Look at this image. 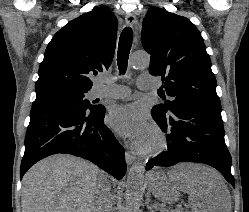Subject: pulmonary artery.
Wrapping results in <instances>:
<instances>
[{
  "label": "pulmonary artery",
  "instance_id": "obj_1",
  "mask_svg": "<svg viewBox=\"0 0 249 212\" xmlns=\"http://www.w3.org/2000/svg\"><path fill=\"white\" fill-rule=\"evenodd\" d=\"M147 75H141L137 79L138 88L141 90L152 89L156 86V83H144L143 79ZM97 82L90 91L91 98H126L130 94V89L127 86L119 85L114 83L106 75H98L96 78Z\"/></svg>",
  "mask_w": 249,
  "mask_h": 212
}]
</instances>
